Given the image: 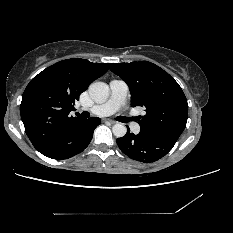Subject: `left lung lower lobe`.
Instances as JSON below:
<instances>
[{
	"label": "left lung lower lobe",
	"mask_w": 233,
	"mask_h": 233,
	"mask_svg": "<svg viewBox=\"0 0 233 233\" xmlns=\"http://www.w3.org/2000/svg\"><path fill=\"white\" fill-rule=\"evenodd\" d=\"M116 142L124 154L144 163L159 160L175 145V142L154 138L141 132L134 135L129 128L126 135L117 138Z\"/></svg>",
	"instance_id": "1"
}]
</instances>
